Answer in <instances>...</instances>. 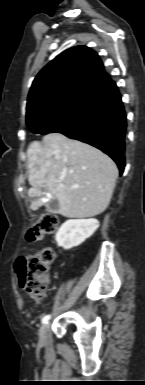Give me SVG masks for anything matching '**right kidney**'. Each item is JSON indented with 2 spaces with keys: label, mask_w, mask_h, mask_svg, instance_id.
I'll return each instance as SVG.
<instances>
[{
  "label": "right kidney",
  "mask_w": 145,
  "mask_h": 385,
  "mask_svg": "<svg viewBox=\"0 0 145 385\" xmlns=\"http://www.w3.org/2000/svg\"><path fill=\"white\" fill-rule=\"evenodd\" d=\"M98 227L99 222L96 219H70L59 228L55 240L59 247L70 250L92 236Z\"/></svg>",
  "instance_id": "1"
}]
</instances>
